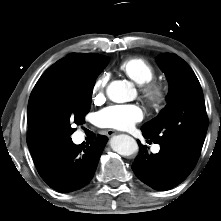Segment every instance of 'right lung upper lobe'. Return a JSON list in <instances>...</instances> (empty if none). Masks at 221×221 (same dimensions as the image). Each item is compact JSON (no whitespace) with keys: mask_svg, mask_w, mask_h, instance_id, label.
Segmentation results:
<instances>
[{"mask_svg":"<svg viewBox=\"0 0 221 221\" xmlns=\"http://www.w3.org/2000/svg\"><path fill=\"white\" fill-rule=\"evenodd\" d=\"M104 57L105 56L103 55L92 53H71L49 67L40 77L30 95L27 116L37 99L41 95H43L47 91V89L56 81H58L61 77L80 66L101 60Z\"/></svg>","mask_w":221,"mask_h":221,"instance_id":"1","label":"right lung upper lobe"}]
</instances>
